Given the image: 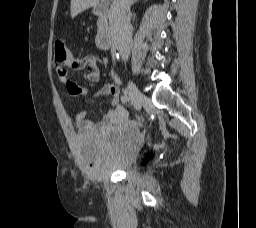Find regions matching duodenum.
I'll list each match as a JSON object with an SVG mask.
<instances>
[{"instance_id": "obj_1", "label": "duodenum", "mask_w": 256, "mask_h": 228, "mask_svg": "<svg viewBox=\"0 0 256 228\" xmlns=\"http://www.w3.org/2000/svg\"><path fill=\"white\" fill-rule=\"evenodd\" d=\"M109 1L96 3L92 8L93 14L99 17L102 22L96 36L97 45L102 49H110L113 45L112 33L108 25Z\"/></svg>"}]
</instances>
